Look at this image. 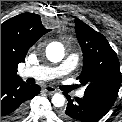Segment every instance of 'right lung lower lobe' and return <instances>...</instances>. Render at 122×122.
Segmentation results:
<instances>
[{"label": "right lung lower lobe", "instance_id": "right-lung-lower-lobe-1", "mask_svg": "<svg viewBox=\"0 0 122 122\" xmlns=\"http://www.w3.org/2000/svg\"><path fill=\"white\" fill-rule=\"evenodd\" d=\"M40 92L21 78L1 79V122H19L26 113L27 101Z\"/></svg>", "mask_w": 122, "mask_h": 122}]
</instances>
